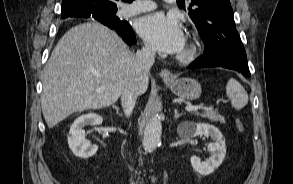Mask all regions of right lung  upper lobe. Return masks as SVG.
<instances>
[{
  "label": "right lung upper lobe",
  "instance_id": "1",
  "mask_svg": "<svg viewBox=\"0 0 293 184\" xmlns=\"http://www.w3.org/2000/svg\"><path fill=\"white\" fill-rule=\"evenodd\" d=\"M82 0H63L62 2V18L67 17H79L84 14H88L93 11H87L80 7L79 2ZM100 1L104 4L103 10H95V11H102L104 13L110 12L114 9H117L116 4L113 3L111 0H94Z\"/></svg>",
  "mask_w": 293,
  "mask_h": 184
}]
</instances>
